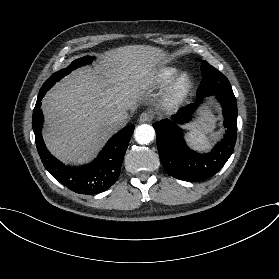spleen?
Instances as JSON below:
<instances>
[{
  "label": "spleen",
  "instance_id": "1",
  "mask_svg": "<svg viewBox=\"0 0 279 279\" xmlns=\"http://www.w3.org/2000/svg\"><path fill=\"white\" fill-rule=\"evenodd\" d=\"M203 115V120L199 124L189 127L191 134L188 138L193 146L199 149H208L210 148L209 140L202 133L207 129L213 128L215 119L209 111L204 112Z\"/></svg>",
  "mask_w": 279,
  "mask_h": 279
}]
</instances>
